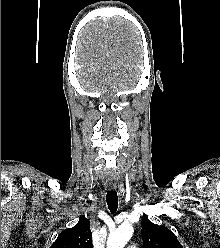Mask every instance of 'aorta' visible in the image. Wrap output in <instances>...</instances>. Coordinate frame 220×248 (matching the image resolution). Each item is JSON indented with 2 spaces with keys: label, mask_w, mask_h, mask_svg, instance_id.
<instances>
[{
  "label": "aorta",
  "mask_w": 220,
  "mask_h": 248,
  "mask_svg": "<svg viewBox=\"0 0 220 248\" xmlns=\"http://www.w3.org/2000/svg\"><path fill=\"white\" fill-rule=\"evenodd\" d=\"M134 233L130 224L120 225L114 232L109 234L107 248H124Z\"/></svg>",
  "instance_id": "obj_1"
}]
</instances>
